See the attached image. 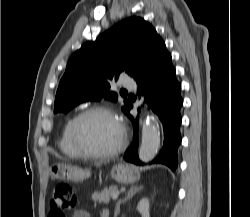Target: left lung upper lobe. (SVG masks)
Here are the masks:
<instances>
[{"mask_svg": "<svg viewBox=\"0 0 250 217\" xmlns=\"http://www.w3.org/2000/svg\"><path fill=\"white\" fill-rule=\"evenodd\" d=\"M162 38L140 17H129L88 41L68 61L56 93L54 113L68 112L80 103L113 101L117 94L110 91V82L125 72L137 76L151 62ZM130 102L125 101L126 113Z\"/></svg>", "mask_w": 250, "mask_h": 217, "instance_id": "left-lung-upper-lobe-1", "label": "left lung upper lobe"}]
</instances>
